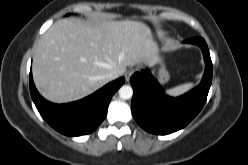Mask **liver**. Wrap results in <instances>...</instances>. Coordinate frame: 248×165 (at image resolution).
Returning a JSON list of instances; mask_svg holds the SVG:
<instances>
[{"mask_svg": "<svg viewBox=\"0 0 248 165\" xmlns=\"http://www.w3.org/2000/svg\"><path fill=\"white\" fill-rule=\"evenodd\" d=\"M159 47L151 29L132 20L89 24L76 18L55 22L40 38L33 58V79L40 94L54 103L82 99L110 80L112 70L153 66Z\"/></svg>", "mask_w": 248, "mask_h": 165, "instance_id": "obj_1", "label": "liver"}]
</instances>
